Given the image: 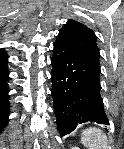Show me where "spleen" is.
Listing matches in <instances>:
<instances>
[{"label": "spleen", "instance_id": "1", "mask_svg": "<svg viewBox=\"0 0 124 149\" xmlns=\"http://www.w3.org/2000/svg\"><path fill=\"white\" fill-rule=\"evenodd\" d=\"M92 137L93 139H90ZM82 143L88 149H106L107 140L100 130L89 128L83 131Z\"/></svg>", "mask_w": 124, "mask_h": 149}]
</instances>
